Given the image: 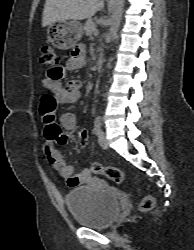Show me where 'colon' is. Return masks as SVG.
Here are the masks:
<instances>
[{
	"label": "colon",
	"instance_id": "1",
	"mask_svg": "<svg viewBox=\"0 0 194 250\" xmlns=\"http://www.w3.org/2000/svg\"><path fill=\"white\" fill-rule=\"evenodd\" d=\"M74 54V51H73ZM72 54V55H73ZM40 61L43 65L51 68L50 77L53 79H58L61 77V68H60V58L51 45H44L41 49ZM56 102L52 94H44L41 98V111H55ZM82 132V131H80ZM79 132V133H80ZM78 133V134H79ZM81 146H86V143L79 139ZM92 171L96 174L105 176L107 179L111 180L116 184L123 182L124 175L120 168L116 166H103L99 163H94L92 165ZM154 206V199L152 196H145L140 204V209L143 212L150 211Z\"/></svg>",
	"mask_w": 194,
	"mask_h": 250
}]
</instances>
